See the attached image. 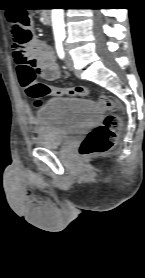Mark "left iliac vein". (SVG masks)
Returning a JSON list of instances; mask_svg holds the SVG:
<instances>
[{
  "mask_svg": "<svg viewBox=\"0 0 145 278\" xmlns=\"http://www.w3.org/2000/svg\"><path fill=\"white\" fill-rule=\"evenodd\" d=\"M65 53H66V67L72 71L74 69L73 60L71 55L68 53L67 47H65Z\"/></svg>",
  "mask_w": 145,
  "mask_h": 278,
  "instance_id": "left-iliac-vein-1",
  "label": "left iliac vein"
}]
</instances>
